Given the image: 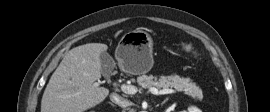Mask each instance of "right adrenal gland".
<instances>
[{
	"instance_id": "1",
	"label": "right adrenal gland",
	"mask_w": 270,
	"mask_h": 112,
	"mask_svg": "<svg viewBox=\"0 0 270 112\" xmlns=\"http://www.w3.org/2000/svg\"><path fill=\"white\" fill-rule=\"evenodd\" d=\"M109 104H110L111 106L115 107V105H114V104H112V103H110V102H109Z\"/></svg>"
}]
</instances>
